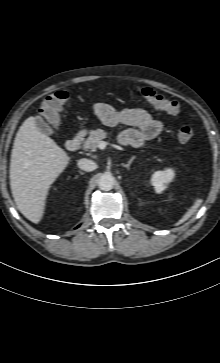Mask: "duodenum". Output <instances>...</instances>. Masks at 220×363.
Returning a JSON list of instances; mask_svg holds the SVG:
<instances>
[{"label":"duodenum","mask_w":220,"mask_h":363,"mask_svg":"<svg viewBox=\"0 0 220 363\" xmlns=\"http://www.w3.org/2000/svg\"><path fill=\"white\" fill-rule=\"evenodd\" d=\"M85 134H86L85 130H80L71 139H69L65 144L67 150L69 151L78 150L82 144Z\"/></svg>","instance_id":"410a0bca"}]
</instances>
